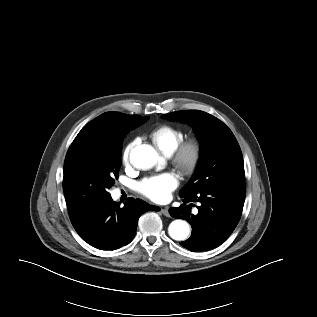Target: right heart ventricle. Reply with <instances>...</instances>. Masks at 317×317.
Returning <instances> with one entry per match:
<instances>
[{"label": "right heart ventricle", "mask_w": 317, "mask_h": 317, "mask_svg": "<svg viewBox=\"0 0 317 317\" xmlns=\"http://www.w3.org/2000/svg\"><path fill=\"white\" fill-rule=\"evenodd\" d=\"M156 147L166 155H171L184 138L182 129L163 124L155 127L149 134Z\"/></svg>", "instance_id": "1"}]
</instances>
